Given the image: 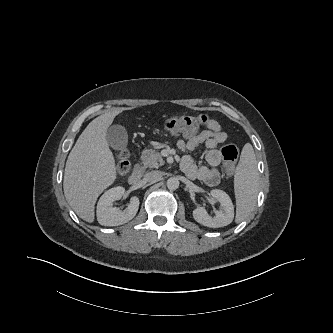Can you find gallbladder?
Here are the masks:
<instances>
[{"mask_svg":"<svg viewBox=\"0 0 333 333\" xmlns=\"http://www.w3.org/2000/svg\"><path fill=\"white\" fill-rule=\"evenodd\" d=\"M106 139L114 150H123L128 143V134L123 126L115 124L108 128Z\"/></svg>","mask_w":333,"mask_h":333,"instance_id":"bac80fb5","label":"gallbladder"}]
</instances>
